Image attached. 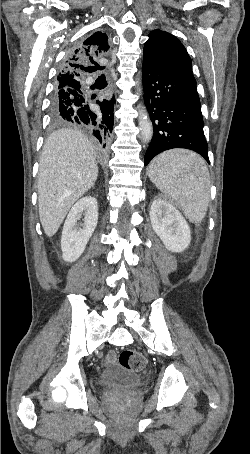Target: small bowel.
<instances>
[{"instance_id": "small-bowel-1", "label": "small bowel", "mask_w": 250, "mask_h": 454, "mask_svg": "<svg viewBox=\"0 0 250 454\" xmlns=\"http://www.w3.org/2000/svg\"><path fill=\"white\" fill-rule=\"evenodd\" d=\"M113 359H114V354H113V353L109 354L108 360H109V361H112Z\"/></svg>"}]
</instances>
